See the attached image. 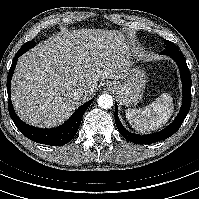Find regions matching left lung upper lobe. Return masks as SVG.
<instances>
[{
	"label": "left lung upper lobe",
	"mask_w": 199,
	"mask_h": 199,
	"mask_svg": "<svg viewBox=\"0 0 199 199\" xmlns=\"http://www.w3.org/2000/svg\"><path fill=\"white\" fill-rule=\"evenodd\" d=\"M164 44L166 45V49L177 47L174 43H172L171 41H168V40H164Z\"/></svg>",
	"instance_id": "obj_1"
}]
</instances>
